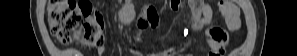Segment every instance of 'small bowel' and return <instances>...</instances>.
Segmentation results:
<instances>
[{"label":"small bowel","mask_w":297,"mask_h":56,"mask_svg":"<svg viewBox=\"0 0 297 56\" xmlns=\"http://www.w3.org/2000/svg\"><path fill=\"white\" fill-rule=\"evenodd\" d=\"M190 7L192 10V27L195 30L204 29L210 22L213 16V9L210 4L201 0L190 1ZM180 6L179 0H172L171 7L178 9ZM222 17L226 23L227 28L230 31L237 30V24L239 21L238 14L232 4H225L221 6ZM118 17L120 21L129 25L135 18V9L131 0H124L120 8L118 9ZM158 24V16L153 7H148L144 10L143 14L138 20V27L145 29L148 27H154ZM204 37L207 44L211 48L212 53H223L229 42V34L227 30L220 27L208 28L204 31ZM103 48H99V52H103ZM178 49H173L164 54V56L177 55Z\"/></svg>","instance_id":"small-bowel-1"}]
</instances>
